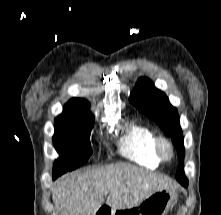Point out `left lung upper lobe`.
<instances>
[{
  "mask_svg": "<svg viewBox=\"0 0 221 215\" xmlns=\"http://www.w3.org/2000/svg\"><path fill=\"white\" fill-rule=\"evenodd\" d=\"M129 101L138 108L140 112L155 121L167 136L172 138V142L177 148L178 165L176 179L188 182L184 174V145L183 135L180 127V118L176 108H174L167 96L156 89L148 78H140L134 91L131 93Z\"/></svg>",
  "mask_w": 221,
  "mask_h": 215,
  "instance_id": "obj_1",
  "label": "left lung upper lobe"
}]
</instances>
